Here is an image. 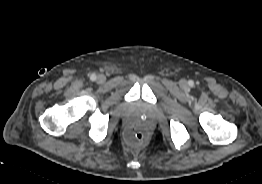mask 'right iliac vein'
I'll return each mask as SVG.
<instances>
[{"mask_svg":"<svg viewBox=\"0 0 262 184\" xmlns=\"http://www.w3.org/2000/svg\"><path fill=\"white\" fill-rule=\"evenodd\" d=\"M106 80V77L103 74L98 75L97 82L98 83H104Z\"/></svg>","mask_w":262,"mask_h":184,"instance_id":"right-iliac-vein-1","label":"right iliac vein"}]
</instances>
